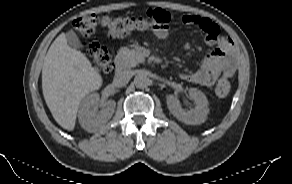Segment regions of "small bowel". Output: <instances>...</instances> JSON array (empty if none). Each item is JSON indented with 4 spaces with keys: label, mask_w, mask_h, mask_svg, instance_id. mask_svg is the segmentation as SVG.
<instances>
[{
    "label": "small bowel",
    "mask_w": 292,
    "mask_h": 184,
    "mask_svg": "<svg viewBox=\"0 0 292 184\" xmlns=\"http://www.w3.org/2000/svg\"><path fill=\"white\" fill-rule=\"evenodd\" d=\"M182 21L186 25H195L202 29L207 45L216 46L205 56L198 70L182 74V79L193 84L210 87L220 75L231 78L237 68V52L232 40L222 37L219 26L206 17L186 14L182 17ZM155 34L160 39H167L169 30L165 26Z\"/></svg>",
    "instance_id": "c3829d8e"
}]
</instances>
